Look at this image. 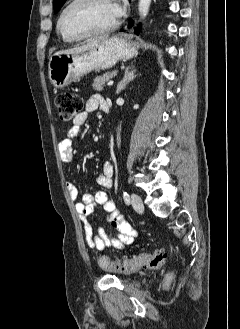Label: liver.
Listing matches in <instances>:
<instances>
[{
	"label": "liver",
	"mask_w": 240,
	"mask_h": 329,
	"mask_svg": "<svg viewBox=\"0 0 240 329\" xmlns=\"http://www.w3.org/2000/svg\"><path fill=\"white\" fill-rule=\"evenodd\" d=\"M108 39V37H96V38H91L88 39L83 45L81 46H77L74 48H70V49H65V50H61L56 52L54 55H62V54H73V53H80V52H85L88 51L90 49H92L93 47H95L98 43H100L101 41Z\"/></svg>",
	"instance_id": "6515ba94"
}]
</instances>
